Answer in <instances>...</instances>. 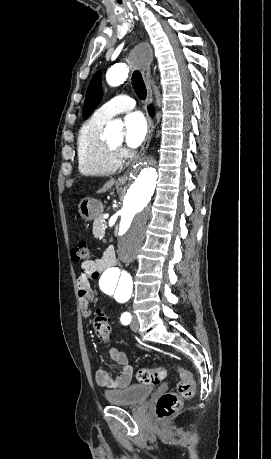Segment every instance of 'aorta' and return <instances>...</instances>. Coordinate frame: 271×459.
I'll return each instance as SVG.
<instances>
[{
  "label": "aorta",
  "instance_id": "762f6f07",
  "mask_svg": "<svg viewBox=\"0 0 271 459\" xmlns=\"http://www.w3.org/2000/svg\"><path fill=\"white\" fill-rule=\"evenodd\" d=\"M146 54L145 49L138 48L134 59L140 61ZM128 73L126 64H116L107 71L106 80L110 86H119L126 81ZM121 130L122 126L116 122H110L105 129L108 135L113 136H120ZM157 179L158 172L151 157L138 161L130 172V184L120 200L118 260L109 263L99 280L100 289L108 295L132 292V277L122 269L121 264L133 262L142 245L152 216L150 201Z\"/></svg>",
  "mask_w": 271,
  "mask_h": 459
}]
</instances>
